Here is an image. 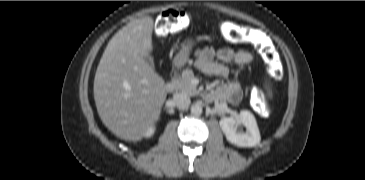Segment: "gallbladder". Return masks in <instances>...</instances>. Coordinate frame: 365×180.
<instances>
[{
	"mask_svg": "<svg viewBox=\"0 0 365 180\" xmlns=\"http://www.w3.org/2000/svg\"><path fill=\"white\" fill-rule=\"evenodd\" d=\"M144 58V60L152 67V68H154V63H153V59H152V57L151 56H144L143 57Z\"/></svg>",
	"mask_w": 365,
	"mask_h": 180,
	"instance_id": "obj_1",
	"label": "gallbladder"
}]
</instances>
